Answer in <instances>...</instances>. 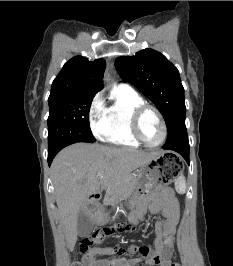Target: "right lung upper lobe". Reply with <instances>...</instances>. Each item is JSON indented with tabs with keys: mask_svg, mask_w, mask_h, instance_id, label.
Here are the masks:
<instances>
[{
	"mask_svg": "<svg viewBox=\"0 0 233 266\" xmlns=\"http://www.w3.org/2000/svg\"><path fill=\"white\" fill-rule=\"evenodd\" d=\"M106 62H93L82 56H75L66 62L54 79L49 99L76 94H96L103 88V74Z\"/></svg>",
	"mask_w": 233,
	"mask_h": 266,
	"instance_id": "obj_1",
	"label": "right lung upper lobe"
}]
</instances>
